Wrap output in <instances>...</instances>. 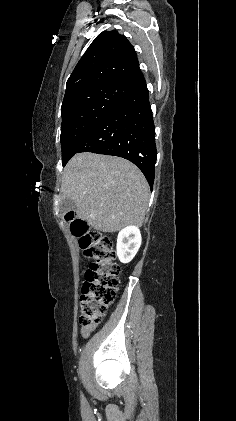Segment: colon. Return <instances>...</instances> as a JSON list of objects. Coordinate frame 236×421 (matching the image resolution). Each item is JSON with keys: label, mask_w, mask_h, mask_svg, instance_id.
Returning <instances> with one entry per match:
<instances>
[{"label": "colon", "mask_w": 236, "mask_h": 421, "mask_svg": "<svg viewBox=\"0 0 236 421\" xmlns=\"http://www.w3.org/2000/svg\"><path fill=\"white\" fill-rule=\"evenodd\" d=\"M66 218L90 261L81 288L79 323L84 330H91L102 321L115 300L120 269L114 261L115 252L109 237L91 229L75 213H68Z\"/></svg>", "instance_id": "5ec220e1"}]
</instances>
